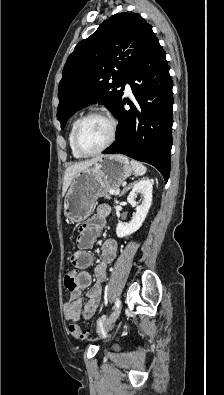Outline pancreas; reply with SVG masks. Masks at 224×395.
<instances>
[{"instance_id": "cf45deb5", "label": "pancreas", "mask_w": 224, "mask_h": 395, "mask_svg": "<svg viewBox=\"0 0 224 395\" xmlns=\"http://www.w3.org/2000/svg\"><path fill=\"white\" fill-rule=\"evenodd\" d=\"M110 190H111V189H109V190H107V191L104 192V194H103V197H104V198H106V199H110V198H111V194L109 193Z\"/></svg>"}]
</instances>
